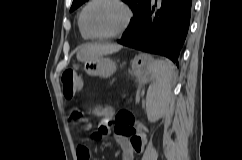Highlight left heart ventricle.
Returning <instances> with one entry per match:
<instances>
[{"mask_svg":"<svg viewBox=\"0 0 242 160\" xmlns=\"http://www.w3.org/2000/svg\"><path fill=\"white\" fill-rule=\"evenodd\" d=\"M125 19L123 9L109 0L92 4L85 13V25L94 34H108L118 30Z\"/></svg>","mask_w":242,"mask_h":160,"instance_id":"b2bd125f","label":"left heart ventricle"}]
</instances>
